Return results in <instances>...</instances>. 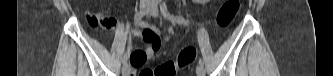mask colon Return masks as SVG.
Returning a JSON list of instances; mask_svg holds the SVG:
<instances>
[{
    "label": "colon",
    "instance_id": "colon-1",
    "mask_svg": "<svg viewBox=\"0 0 333 76\" xmlns=\"http://www.w3.org/2000/svg\"><path fill=\"white\" fill-rule=\"evenodd\" d=\"M240 9V0H228L220 7L216 23L221 29L228 27L236 17ZM196 58V49L194 47L184 48L177 60H168L157 66L155 69L141 71L139 76H175L177 71L187 67Z\"/></svg>",
    "mask_w": 333,
    "mask_h": 76
}]
</instances>
